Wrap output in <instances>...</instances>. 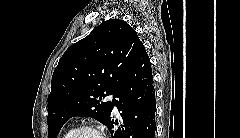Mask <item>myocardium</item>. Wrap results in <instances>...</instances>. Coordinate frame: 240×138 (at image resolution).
Masks as SVG:
<instances>
[{"instance_id":"obj_1","label":"myocardium","mask_w":240,"mask_h":138,"mask_svg":"<svg viewBox=\"0 0 240 138\" xmlns=\"http://www.w3.org/2000/svg\"><path fill=\"white\" fill-rule=\"evenodd\" d=\"M84 131H92L95 132L99 138H105L104 133L101 131V129L94 124H84L75 128L67 138H77V136Z\"/></svg>"}]
</instances>
